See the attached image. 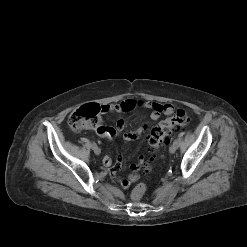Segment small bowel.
I'll list each match as a JSON object with an SVG mask.
<instances>
[{
	"label": "small bowel",
	"mask_w": 247,
	"mask_h": 247,
	"mask_svg": "<svg viewBox=\"0 0 247 247\" xmlns=\"http://www.w3.org/2000/svg\"><path fill=\"white\" fill-rule=\"evenodd\" d=\"M103 107V113L111 112V113H126L134 110L136 107H141L144 109L151 110V119L157 120L162 114L164 115H170L174 111V107L170 104H161L157 102H150V101H136L134 99H126L123 100L117 104H111V105H104ZM125 126L124 120L120 119L116 122L115 127H108L104 125H100L97 129H95L96 133L105 138L113 139L116 137V135L123 130ZM146 126L140 127L135 131L126 133L124 135V139L126 141H132L137 139L145 130ZM144 158L143 156L137 157L135 162H133L130 165L131 174L127 178H122L118 176V170L122 166V158L121 156H118L117 161L115 165L110 169V177L113 180H117L122 188L127 189L129 188L130 184L137 180L138 175L136 172L140 168V166L143 164ZM103 165L105 167H111L112 165V159L109 154H106L102 159Z\"/></svg>",
	"instance_id": "small-bowel-1"
}]
</instances>
